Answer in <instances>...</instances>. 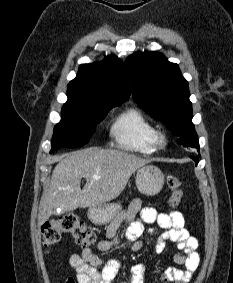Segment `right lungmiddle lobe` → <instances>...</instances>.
<instances>
[{"label": "right lung middle lobe", "mask_w": 233, "mask_h": 283, "mask_svg": "<svg viewBox=\"0 0 233 283\" xmlns=\"http://www.w3.org/2000/svg\"><path fill=\"white\" fill-rule=\"evenodd\" d=\"M120 105H89L68 98L62 107L61 121L54 127L50 153L59 147L76 148L88 143L96 125Z\"/></svg>", "instance_id": "dd1d6c3e"}]
</instances>
